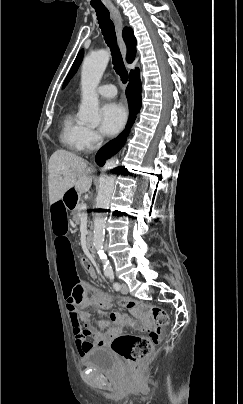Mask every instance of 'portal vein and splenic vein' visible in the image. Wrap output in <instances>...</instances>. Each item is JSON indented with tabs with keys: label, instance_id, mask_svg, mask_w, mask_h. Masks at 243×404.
<instances>
[{
	"label": "portal vein and splenic vein",
	"instance_id": "18ae733b",
	"mask_svg": "<svg viewBox=\"0 0 243 404\" xmlns=\"http://www.w3.org/2000/svg\"><path fill=\"white\" fill-rule=\"evenodd\" d=\"M85 210H87V206H86V204H82L81 210L78 212V215L81 217L87 218L88 214L85 212Z\"/></svg>",
	"mask_w": 243,
	"mask_h": 404
}]
</instances>
